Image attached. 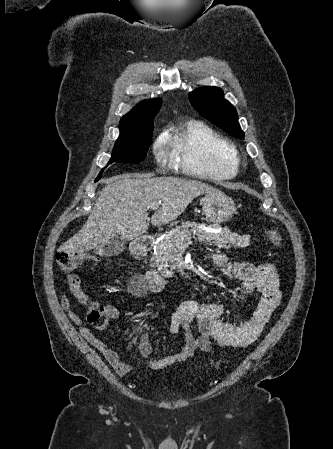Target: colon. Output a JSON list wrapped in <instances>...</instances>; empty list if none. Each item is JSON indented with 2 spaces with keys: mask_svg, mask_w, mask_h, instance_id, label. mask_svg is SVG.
Segmentation results:
<instances>
[{
  "mask_svg": "<svg viewBox=\"0 0 333 449\" xmlns=\"http://www.w3.org/2000/svg\"><path fill=\"white\" fill-rule=\"evenodd\" d=\"M265 234L269 241L273 243L276 246H280L282 244V237L281 235L274 229L267 228L265 229ZM94 260L93 257L83 254V253H74V252H68V251H59L55 255V262L58 265V267L64 271L69 272L76 268H78L80 265H82L84 262ZM106 313V307L97 305L89 309L87 319L90 323L97 322L100 318H102ZM226 362V360H217L213 363L214 367H218L221 363Z\"/></svg>",
  "mask_w": 333,
  "mask_h": 449,
  "instance_id": "colon-1",
  "label": "colon"
}]
</instances>
